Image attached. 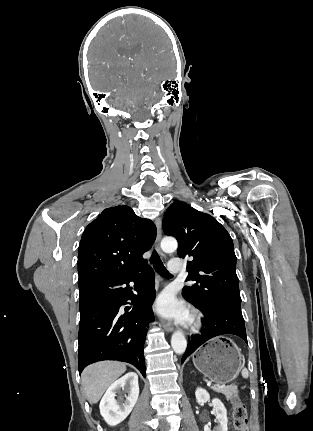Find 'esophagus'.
<instances>
[{
    "label": "esophagus",
    "mask_w": 313,
    "mask_h": 431,
    "mask_svg": "<svg viewBox=\"0 0 313 431\" xmlns=\"http://www.w3.org/2000/svg\"><path fill=\"white\" fill-rule=\"evenodd\" d=\"M155 225H156V228H157V235H156V240H155V246H156V249L159 252L160 256L164 257V254H163V252L160 249V240H161V237H162L161 220H160V218H157L155 220ZM161 325H162V327L167 332L173 331V326H172V324L170 322L165 321V320H161Z\"/></svg>",
    "instance_id": "34e87169"
}]
</instances>
